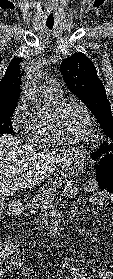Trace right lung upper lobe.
Returning a JSON list of instances; mask_svg holds the SVG:
<instances>
[{"instance_id": "1", "label": "right lung upper lobe", "mask_w": 113, "mask_h": 279, "mask_svg": "<svg viewBox=\"0 0 113 279\" xmlns=\"http://www.w3.org/2000/svg\"><path fill=\"white\" fill-rule=\"evenodd\" d=\"M22 58H14L8 65L4 77L0 81V110L15 107L20 92L19 63Z\"/></svg>"}]
</instances>
